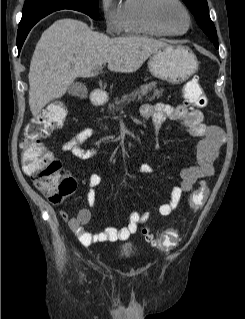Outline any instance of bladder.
<instances>
[{"label": "bladder", "instance_id": "1", "mask_svg": "<svg viewBox=\"0 0 245 319\" xmlns=\"http://www.w3.org/2000/svg\"><path fill=\"white\" fill-rule=\"evenodd\" d=\"M135 246L132 242H126L118 248V254L123 257H129L134 253Z\"/></svg>", "mask_w": 245, "mask_h": 319}]
</instances>
